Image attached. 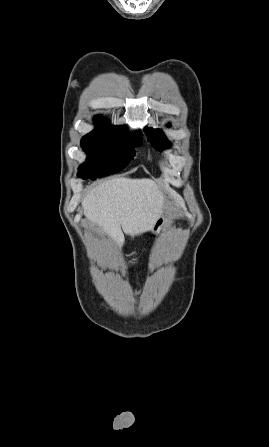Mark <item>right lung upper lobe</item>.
I'll return each mask as SVG.
<instances>
[{
    "mask_svg": "<svg viewBox=\"0 0 269 447\" xmlns=\"http://www.w3.org/2000/svg\"><path fill=\"white\" fill-rule=\"evenodd\" d=\"M95 123L98 126H102V127H109V128H126L125 126H112L109 123H107L105 120H103L101 117H97L95 119Z\"/></svg>",
    "mask_w": 269,
    "mask_h": 447,
    "instance_id": "right-lung-upper-lobe-1",
    "label": "right lung upper lobe"
}]
</instances>
